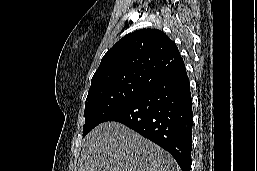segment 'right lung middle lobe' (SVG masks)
Returning a JSON list of instances; mask_svg holds the SVG:
<instances>
[{"mask_svg": "<svg viewBox=\"0 0 257 171\" xmlns=\"http://www.w3.org/2000/svg\"><path fill=\"white\" fill-rule=\"evenodd\" d=\"M147 87L142 83H115L89 89L85 102L83 136Z\"/></svg>", "mask_w": 257, "mask_h": 171, "instance_id": "1", "label": "right lung middle lobe"}]
</instances>
